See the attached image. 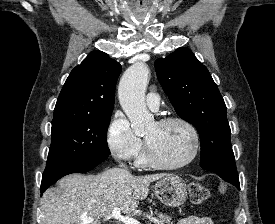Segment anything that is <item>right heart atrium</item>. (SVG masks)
I'll list each match as a JSON object with an SVG mask.
<instances>
[{
    "mask_svg": "<svg viewBox=\"0 0 275 224\" xmlns=\"http://www.w3.org/2000/svg\"><path fill=\"white\" fill-rule=\"evenodd\" d=\"M106 141L111 154L119 160L131 161L137 158L142 150V141L121 112H117L112 118Z\"/></svg>",
    "mask_w": 275,
    "mask_h": 224,
    "instance_id": "d8ad5b80",
    "label": "right heart atrium"
}]
</instances>
